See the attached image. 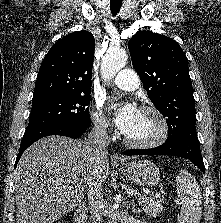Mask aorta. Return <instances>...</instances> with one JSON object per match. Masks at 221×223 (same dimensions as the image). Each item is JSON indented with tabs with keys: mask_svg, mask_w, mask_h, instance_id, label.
Returning <instances> with one entry per match:
<instances>
[{
	"mask_svg": "<svg viewBox=\"0 0 221 223\" xmlns=\"http://www.w3.org/2000/svg\"><path fill=\"white\" fill-rule=\"evenodd\" d=\"M127 60L128 56L124 50H108L101 63L102 79H112L126 65Z\"/></svg>",
	"mask_w": 221,
	"mask_h": 223,
	"instance_id": "762f6f07",
	"label": "aorta"
}]
</instances>
